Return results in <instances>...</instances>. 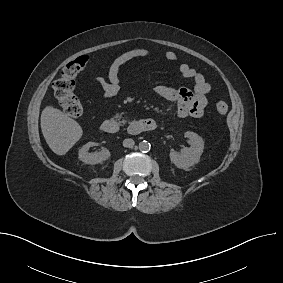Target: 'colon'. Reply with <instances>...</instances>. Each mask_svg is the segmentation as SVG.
Segmentation results:
<instances>
[{"instance_id": "obj_1", "label": "colon", "mask_w": 283, "mask_h": 283, "mask_svg": "<svg viewBox=\"0 0 283 283\" xmlns=\"http://www.w3.org/2000/svg\"><path fill=\"white\" fill-rule=\"evenodd\" d=\"M87 62V56L71 61L62 69L60 77L53 84L56 99L64 112L73 119H78L83 113L82 104L74 89L75 78L86 67ZM216 110L221 116H225L228 112V105L224 101H219L216 103Z\"/></svg>"}]
</instances>
